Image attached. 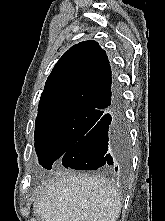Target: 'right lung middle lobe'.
<instances>
[{
    "instance_id": "obj_1",
    "label": "right lung middle lobe",
    "mask_w": 165,
    "mask_h": 221,
    "mask_svg": "<svg viewBox=\"0 0 165 221\" xmlns=\"http://www.w3.org/2000/svg\"><path fill=\"white\" fill-rule=\"evenodd\" d=\"M99 111L60 109L38 113L35 149L46 169L61 158L98 121Z\"/></svg>"
}]
</instances>
